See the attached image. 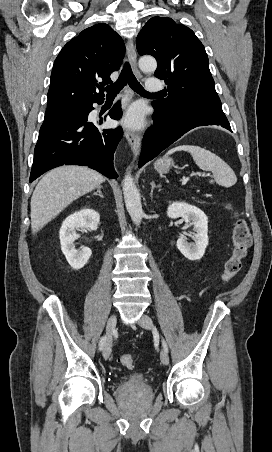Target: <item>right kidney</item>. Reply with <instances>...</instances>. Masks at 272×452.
Returning a JSON list of instances; mask_svg holds the SVG:
<instances>
[{"label": "right kidney", "mask_w": 272, "mask_h": 452, "mask_svg": "<svg viewBox=\"0 0 272 452\" xmlns=\"http://www.w3.org/2000/svg\"><path fill=\"white\" fill-rule=\"evenodd\" d=\"M99 222L100 215L93 209H82L63 221L59 232L61 250L73 269L83 268L92 254L88 247H82L81 250L75 248L74 242L79 238L77 230L86 228L95 231Z\"/></svg>", "instance_id": "obj_1"}]
</instances>
